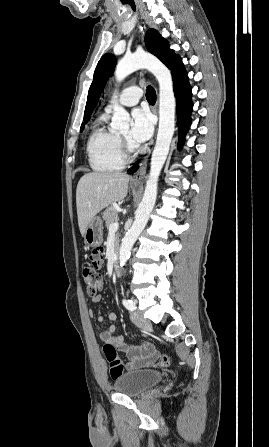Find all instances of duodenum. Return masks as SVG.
Instances as JSON below:
<instances>
[{
  "instance_id": "obj_1",
  "label": "duodenum",
  "mask_w": 269,
  "mask_h": 447,
  "mask_svg": "<svg viewBox=\"0 0 269 447\" xmlns=\"http://www.w3.org/2000/svg\"><path fill=\"white\" fill-rule=\"evenodd\" d=\"M112 268H113L114 273L123 271V269L120 268L118 265V253L117 252L113 253V255H112Z\"/></svg>"
}]
</instances>
